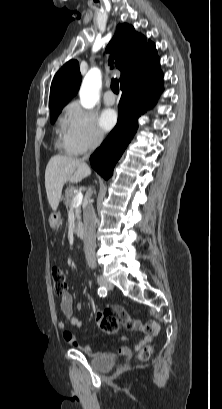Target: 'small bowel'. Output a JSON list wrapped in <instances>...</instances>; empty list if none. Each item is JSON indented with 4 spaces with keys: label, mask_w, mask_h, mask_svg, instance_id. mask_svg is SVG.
I'll use <instances>...</instances> for the list:
<instances>
[{
    "label": "small bowel",
    "mask_w": 222,
    "mask_h": 409,
    "mask_svg": "<svg viewBox=\"0 0 222 409\" xmlns=\"http://www.w3.org/2000/svg\"><path fill=\"white\" fill-rule=\"evenodd\" d=\"M77 308L81 309L82 306L78 304ZM60 309L64 318L68 321L71 327H81V321L76 316H74L73 298L69 292H66L61 296ZM111 318L118 323V326L119 323H121L126 329L136 331L145 329L149 331L134 345V348L136 350H139L144 345L150 343L160 330V325L157 322L150 321L142 324L139 321L131 320L126 311L120 307H116L113 309ZM57 326L60 330L63 331V338L68 345L75 348H81L86 354L90 356H97L99 354V352L91 349L90 347H81L78 338L72 332L66 330V323L63 320L58 321ZM117 352L120 355H129L131 350L129 347L121 346L118 348Z\"/></svg>",
    "instance_id": "small-bowel-1"
}]
</instances>
